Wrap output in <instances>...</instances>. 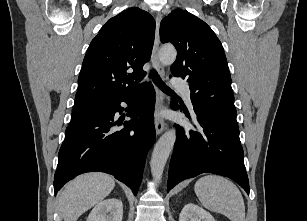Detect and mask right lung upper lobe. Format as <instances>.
I'll list each match as a JSON object with an SVG mask.
<instances>
[{"label":"right lung upper lobe","instance_id":"1","mask_svg":"<svg viewBox=\"0 0 307 221\" xmlns=\"http://www.w3.org/2000/svg\"><path fill=\"white\" fill-rule=\"evenodd\" d=\"M154 34L155 20L139 8L108 20L87 49L74 106L110 103L132 95L137 89L134 80L146 74L142 67L150 59Z\"/></svg>","mask_w":307,"mask_h":221}]
</instances>
